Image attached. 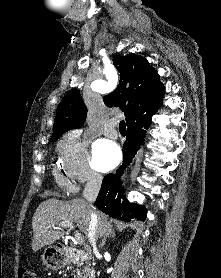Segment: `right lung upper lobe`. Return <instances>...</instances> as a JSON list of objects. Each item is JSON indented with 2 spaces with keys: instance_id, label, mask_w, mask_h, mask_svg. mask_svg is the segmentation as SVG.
I'll use <instances>...</instances> for the list:
<instances>
[{
  "instance_id": "cb5924a9",
  "label": "right lung upper lobe",
  "mask_w": 221,
  "mask_h": 278,
  "mask_svg": "<svg viewBox=\"0 0 221 278\" xmlns=\"http://www.w3.org/2000/svg\"><path fill=\"white\" fill-rule=\"evenodd\" d=\"M113 64L120 73V81L117 88L104 97V103L122 109L127 126L152 116L161 106L164 92L155 69L144 57L135 54L115 56ZM86 114L87 108L79 91H70L57 107L52 140L70 129L81 127Z\"/></svg>"
}]
</instances>
